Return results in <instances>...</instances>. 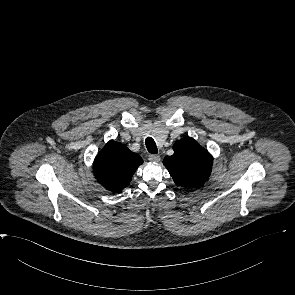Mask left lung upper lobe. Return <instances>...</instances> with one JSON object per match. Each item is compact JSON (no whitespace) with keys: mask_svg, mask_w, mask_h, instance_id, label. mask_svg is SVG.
Wrapping results in <instances>:
<instances>
[{"mask_svg":"<svg viewBox=\"0 0 295 295\" xmlns=\"http://www.w3.org/2000/svg\"><path fill=\"white\" fill-rule=\"evenodd\" d=\"M174 154L166 156L163 164L178 186L199 188L209 178L213 158L193 138L177 141Z\"/></svg>","mask_w":295,"mask_h":295,"instance_id":"1","label":"left lung upper lobe"}]
</instances>
